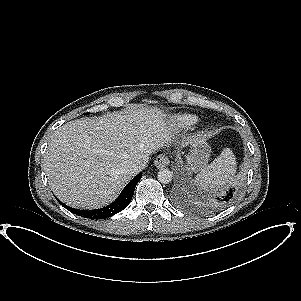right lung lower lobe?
<instances>
[{
	"mask_svg": "<svg viewBox=\"0 0 301 301\" xmlns=\"http://www.w3.org/2000/svg\"><path fill=\"white\" fill-rule=\"evenodd\" d=\"M142 174H138L136 177H134L123 189L119 197L110 205L101 208V209H96V210H77L68 207L67 205L63 204L62 202H59L68 210L71 212L85 218H90V219H103V218H108L111 217L118 212L124 210L130 203L134 190L136 187V184L139 182L141 179Z\"/></svg>",
	"mask_w": 301,
	"mask_h": 301,
	"instance_id": "1",
	"label": "right lung lower lobe"
}]
</instances>
